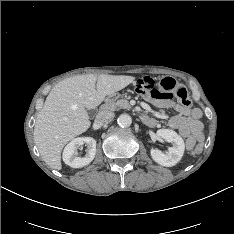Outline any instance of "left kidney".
Masks as SVG:
<instances>
[{"label": "left kidney", "instance_id": "left-kidney-1", "mask_svg": "<svg viewBox=\"0 0 234 234\" xmlns=\"http://www.w3.org/2000/svg\"><path fill=\"white\" fill-rule=\"evenodd\" d=\"M158 138H163L173 146L169 148L167 153H163L158 149H151L152 159L165 167H171L176 165L182 158L185 150V144L180 135L170 129H159L156 133Z\"/></svg>", "mask_w": 234, "mask_h": 234}]
</instances>
